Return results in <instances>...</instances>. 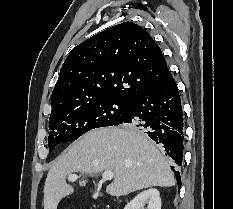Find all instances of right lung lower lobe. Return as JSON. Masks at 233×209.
<instances>
[{"mask_svg": "<svg viewBox=\"0 0 233 209\" xmlns=\"http://www.w3.org/2000/svg\"><path fill=\"white\" fill-rule=\"evenodd\" d=\"M119 124H129L145 132L165 149L178 166L182 165L183 113L178 88L172 75L155 89L135 96L130 102L126 117L114 125ZM171 168L180 188V172L177 167Z\"/></svg>", "mask_w": 233, "mask_h": 209, "instance_id": "right-lung-lower-lobe-1", "label": "right lung lower lobe"}]
</instances>
